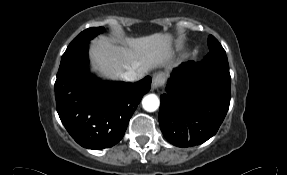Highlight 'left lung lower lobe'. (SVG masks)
Listing matches in <instances>:
<instances>
[{"label":"left lung lower lobe","instance_id":"obj_1","mask_svg":"<svg viewBox=\"0 0 287 175\" xmlns=\"http://www.w3.org/2000/svg\"><path fill=\"white\" fill-rule=\"evenodd\" d=\"M229 67L188 61L176 68L161 95L159 123L178 147L202 144L219 129L230 105Z\"/></svg>","mask_w":287,"mask_h":175}]
</instances>
